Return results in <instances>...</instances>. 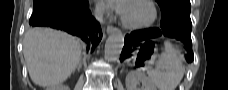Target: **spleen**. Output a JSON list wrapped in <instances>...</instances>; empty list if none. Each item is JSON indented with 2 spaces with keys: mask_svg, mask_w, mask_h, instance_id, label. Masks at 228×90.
Wrapping results in <instances>:
<instances>
[{
  "mask_svg": "<svg viewBox=\"0 0 228 90\" xmlns=\"http://www.w3.org/2000/svg\"><path fill=\"white\" fill-rule=\"evenodd\" d=\"M185 68L179 51L169 42H164L163 52L154 69H147L150 82L159 90H175L184 76Z\"/></svg>",
  "mask_w": 228,
  "mask_h": 90,
  "instance_id": "obj_1",
  "label": "spleen"
}]
</instances>
